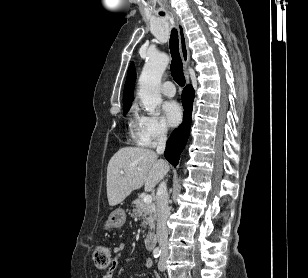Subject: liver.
I'll use <instances>...</instances> for the list:
<instances>
[{
	"instance_id": "6515ba94",
	"label": "liver",
	"mask_w": 308,
	"mask_h": 278,
	"mask_svg": "<svg viewBox=\"0 0 308 278\" xmlns=\"http://www.w3.org/2000/svg\"><path fill=\"white\" fill-rule=\"evenodd\" d=\"M124 174H121V172ZM169 165L147 148L123 147L110 159L107 167V198L110 206L121 203L130 193L144 185L152 191Z\"/></svg>"
}]
</instances>
